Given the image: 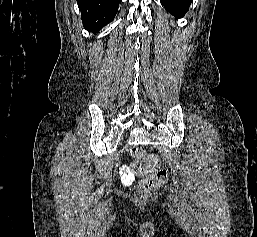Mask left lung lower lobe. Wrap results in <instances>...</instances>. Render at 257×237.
I'll return each mask as SVG.
<instances>
[{
  "label": "left lung lower lobe",
  "mask_w": 257,
  "mask_h": 237,
  "mask_svg": "<svg viewBox=\"0 0 257 237\" xmlns=\"http://www.w3.org/2000/svg\"><path fill=\"white\" fill-rule=\"evenodd\" d=\"M165 9L177 18H181L189 10L192 0H161Z\"/></svg>",
  "instance_id": "left-lung-lower-lobe-1"
}]
</instances>
